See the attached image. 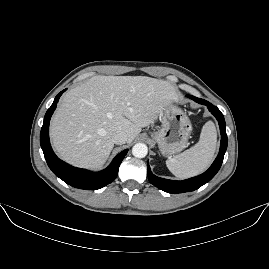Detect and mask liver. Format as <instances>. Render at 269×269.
<instances>
[{
	"label": "liver",
	"instance_id": "1",
	"mask_svg": "<svg viewBox=\"0 0 269 269\" xmlns=\"http://www.w3.org/2000/svg\"><path fill=\"white\" fill-rule=\"evenodd\" d=\"M178 101L173 86L146 76L92 77L68 91L51 122V139L60 157L77 166L99 168L123 130L131 143L164 108Z\"/></svg>",
	"mask_w": 269,
	"mask_h": 269
}]
</instances>
